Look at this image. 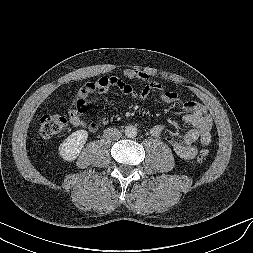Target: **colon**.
<instances>
[{
    "instance_id": "colon-1",
    "label": "colon",
    "mask_w": 253,
    "mask_h": 253,
    "mask_svg": "<svg viewBox=\"0 0 253 253\" xmlns=\"http://www.w3.org/2000/svg\"><path fill=\"white\" fill-rule=\"evenodd\" d=\"M39 121V132L43 139H50L58 136L67 128V120L62 115L43 113L40 115ZM208 155L209 151L207 149H201L197 154V160L203 162Z\"/></svg>"
}]
</instances>
